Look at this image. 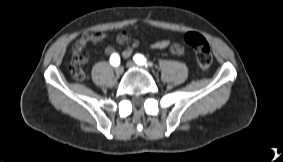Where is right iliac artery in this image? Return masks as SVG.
<instances>
[{"mask_svg": "<svg viewBox=\"0 0 283 162\" xmlns=\"http://www.w3.org/2000/svg\"><path fill=\"white\" fill-rule=\"evenodd\" d=\"M110 63L112 66L116 67L120 64V56L117 53H114L110 57Z\"/></svg>", "mask_w": 283, "mask_h": 162, "instance_id": "obj_1", "label": "right iliac artery"}]
</instances>
